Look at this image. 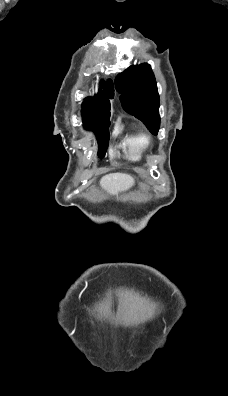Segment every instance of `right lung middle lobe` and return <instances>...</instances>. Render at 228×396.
Returning <instances> with one entry per match:
<instances>
[{"mask_svg":"<svg viewBox=\"0 0 228 396\" xmlns=\"http://www.w3.org/2000/svg\"><path fill=\"white\" fill-rule=\"evenodd\" d=\"M109 117H110V113H107L106 115H103L98 118L83 120L84 126L87 129L94 130L96 128L95 131L98 138L99 158H103L105 156V152L108 147V142H109L108 127L110 125Z\"/></svg>","mask_w":228,"mask_h":396,"instance_id":"obj_1","label":"right lung middle lobe"}]
</instances>
